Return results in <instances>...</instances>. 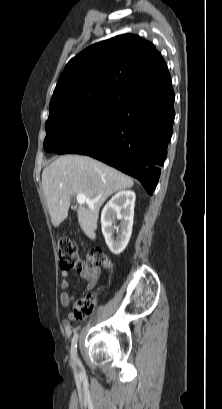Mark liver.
Instances as JSON below:
<instances>
[{
  "mask_svg": "<svg viewBox=\"0 0 222 409\" xmlns=\"http://www.w3.org/2000/svg\"><path fill=\"white\" fill-rule=\"evenodd\" d=\"M133 185L127 175L88 156H61L42 172V187L55 227L67 218L74 195L81 193L95 200L92 205H80L77 209L79 225L92 240L96 238L99 210L106 199Z\"/></svg>",
  "mask_w": 222,
  "mask_h": 409,
  "instance_id": "1",
  "label": "liver"
}]
</instances>
